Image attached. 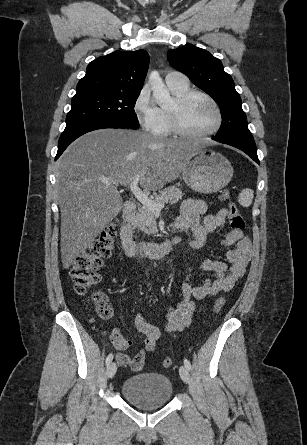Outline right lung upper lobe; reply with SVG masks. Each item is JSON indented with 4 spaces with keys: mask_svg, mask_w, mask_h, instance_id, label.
I'll return each mask as SVG.
<instances>
[{
    "mask_svg": "<svg viewBox=\"0 0 307 445\" xmlns=\"http://www.w3.org/2000/svg\"><path fill=\"white\" fill-rule=\"evenodd\" d=\"M149 65L145 50L115 51L101 56L87 66L75 95L140 94Z\"/></svg>",
    "mask_w": 307,
    "mask_h": 445,
    "instance_id": "right-lung-upper-lobe-1",
    "label": "right lung upper lobe"
}]
</instances>
